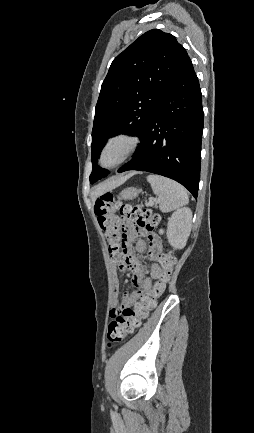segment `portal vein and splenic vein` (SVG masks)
<instances>
[{"instance_id": "1", "label": "portal vein and splenic vein", "mask_w": 254, "mask_h": 433, "mask_svg": "<svg viewBox=\"0 0 254 433\" xmlns=\"http://www.w3.org/2000/svg\"><path fill=\"white\" fill-rule=\"evenodd\" d=\"M158 201H149L148 203H147V205L148 206H152L154 203H157Z\"/></svg>"}]
</instances>
